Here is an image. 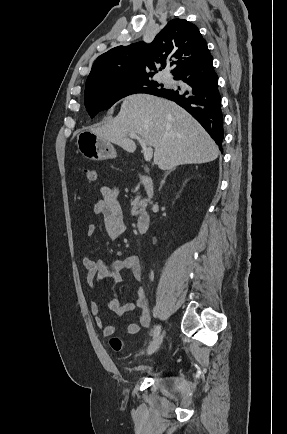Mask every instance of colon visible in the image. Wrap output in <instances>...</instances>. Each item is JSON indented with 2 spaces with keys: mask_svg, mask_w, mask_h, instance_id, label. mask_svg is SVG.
<instances>
[{
  "mask_svg": "<svg viewBox=\"0 0 287 434\" xmlns=\"http://www.w3.org/2000/svg\"><path fill=\"white\" fill-rule=\"evenodd\" d=\"M86 179L89 182H96L99 179V170L97 168H86L84 170ZM113 350L119 352L124 348V343L117 337H112L109 340Z\"/></svg>",
  "mask_w": 287,
  "mask_h": 434,
  "instance_id": "1",
  "label": "colon"
}]
</instances>
